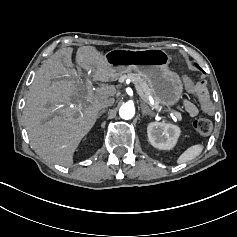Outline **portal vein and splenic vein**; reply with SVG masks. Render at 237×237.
<instances>
[{"label": "portal vein and splenic vein", "instance_id": "obj_1", "mask_svg": "<svg viewBox=\"0 0 237 237\" xmlns=\"http://www.w3.org/2000/svg\"><path fill=\"white\" fill-rule=\"evenodd\" d=\"M134 86H135L136 89L138 90L137 92L141 95L143 101L146 102V104H148V103H147V99H146L144 93L141 91L140 86H138L137 83H134ZM148 106H150V105L148 104ZM150 108H152V107L150 106ZM153 109H156V111H159L157 108H153ZM160 111H170L172 114H174V115L176 116V118H177L181 123L184 121V119H183L184 116H183V114H182L181 112H179V111H176V110H174V109H172V110H160Z\"/></svg>", "mask_w": 237, "mask_h": 237}]
</instances>
